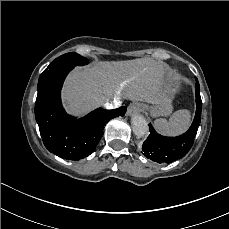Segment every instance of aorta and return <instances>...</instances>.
<instances>
[{
  "label": "aorta",
  "instance_id": "aorta-1",
  "mask_svg": "<svg viewBox=\"0 0 229 229\" xmlns=\"http://www.w3.org/2000/svg\"><path fill=\"white\" fill-rule=\"evenodd\" d=\"M133 133L138 137H146L149 132V127L146 119L140 115H134L131 120Z\"/></svg>",
  "mask_w": 229,
  "mask_h": 229
}]
</instances>
